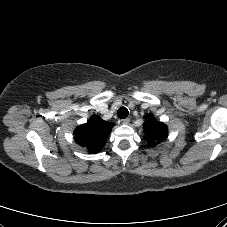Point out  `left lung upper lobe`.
I'll return each instance as SVG.
<instances>
[{
    "label": "left lung upper lobe",
    "mask_w": 227,
    "mask_h": 227,
    "mask_svg": "<svg viewBox=\"0 0 227 227\" xmlns=\"http://www.w3.org/2000/svg\"><path fill=\"white\" fill-rule=\"evenodd\" d=\"M144 119V139L150 145H156L167 137L168 129L164 123L156 121L152 114L146 115Z\"/></svg>",
    "instance_id": "obj_1"
}]
</instances>
